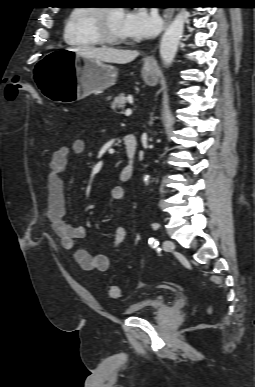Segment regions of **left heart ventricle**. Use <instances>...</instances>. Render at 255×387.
Instances as JSON below:
<instances>
[{
    "label": "left heart ventricle",
    "instance_id": "left-heart-ventricle-1",
    "mask_svg": "<svg viewBox=\"0 0 255 387\" xmlns=\"http://www.w3.org/2000/svg\"><path fill=\"white\" fill-rule=\"evenodd\" d=\"M125 18V12L122 9L115 8L111 11L110 17H109V23L111 31L123 38H127L124 30H123V22Z\"/></svg>",
    "mask_w": 255,
    "mask_h": 387
}]
</instances>
